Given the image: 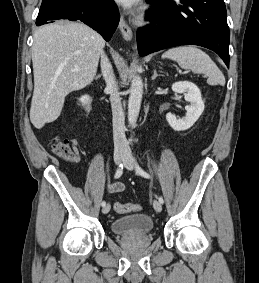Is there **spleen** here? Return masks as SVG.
<instances>
[{
    "instance_id": "1",
    "label": "spleen",
    "mask_w": 259,
    "mask_h": 283,
    "mask_svg": "<svg viewBox=\"0 0 259 283\" xmlns=\"http://www.w3.org/2000/svg\"><path fill=\"white\" fill-rule=\"evenodd\" d=\"M162 58L176 61L183 69L208 76L212 84L225 85V77L212 59L202 50L194 46H182L167 50Z\"/></svg>"
}]
</instances>
